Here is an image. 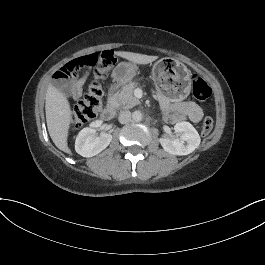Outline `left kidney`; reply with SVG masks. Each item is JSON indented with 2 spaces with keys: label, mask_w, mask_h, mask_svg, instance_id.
I'll list each match as a JSON object with an SVG mask.
<instances>
[{
  "label": "left kidney",
  "mask_w": 265,
  "mask_h": 265,
  "mask_svg": "<svg viewBox=\"0 0 265 265\" xmlns=\"http://www.w3.org/2000/svg\"><path fill=\"white\" fill-rule=\"evenodd\" d=\"M179 138H160L163 149L173 155H188L200 144V136L197 130L189 122H178L174 126ZM186 142V144H185Z\"/></svg>",
  "instance_id": "5707ae66"
}]
</instances>
